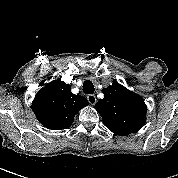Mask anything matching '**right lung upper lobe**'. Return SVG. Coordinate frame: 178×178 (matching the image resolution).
I'll return each instance as SVG.
<instances>
[{"label": "right lung upper lobe", "instance_id": "obj_1", "mask_svg": "<svg viewBox=\"0 0 178 178\" xmlns=\"http://www.w3.org/2000/svg\"><path fill=\"white\" fill-rule=\"evenodd\" d=\"M87 105L83 96L72 94L69 84L56 79L36 94L32 110L45 127L61 130L70 127L76 113Z\"/></svg>", "mask_w": 178, "mask_h": 178}]
</instances>
